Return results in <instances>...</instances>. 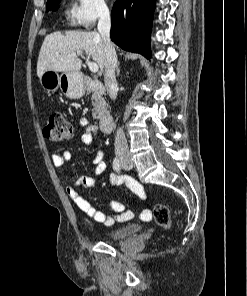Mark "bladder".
Masks as SVG:
<instances>
[{
  "instance_id": "obj_1",
  "label": "bladder",
  "mask_w": 247,
  "mask_h": 296,
  "mask_svg": "<svg viewBox=\"0 0 247 296\" xmlns=\"http://www.w3.org/2000/svg\"><path fill=\"white\" fill-rule=\"evenodd\" d=\"M141 229L140 224H128L111 231L108 234V240L112 242L122 241L137 234Z\"/></svg>"
}]
</instances>
